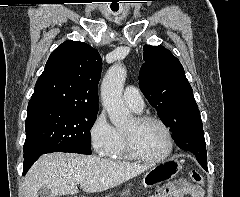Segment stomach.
I'll list each match as a JSON object with an SVG mask.
<instances>
[{"label":"stomach","instance_id":"1","mask_svg":"<svg viewBox=\"0 0 240 197\" xmlns=\"http://www.w3.org/2000/svg\"><path fill=\"white\" fill-rule=\"evenodd\" d=\"M180 167L181 161L178 159H171L169 162L155 166L143 176L142 185L146 188H150L165 180H169L179 172ZM123 195L128 197L130 191L127 190Z\"/></svg>","mask_w":240,"mask_h":197}]
</instances>
